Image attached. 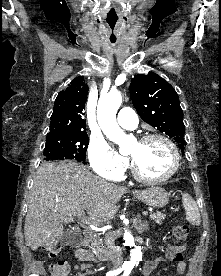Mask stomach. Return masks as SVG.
Here are the masks:
<instances>
[{
    "mask_svg": "<svg viewBox=\"0 0 221 276\" xmlns=\"http://www.w3.org/2000/svg\"><path fill=\"white\" fill-rule=\"evenodd\" d=\"M135 197L152 207H164L169 202V194L161 187H150L135 193Z\"/></svg>",
    "mask_w": 221,
    "mask_h": 276,
    "instance_id": "stomach-1",
    "label": "stomach"
}]
</instances>
